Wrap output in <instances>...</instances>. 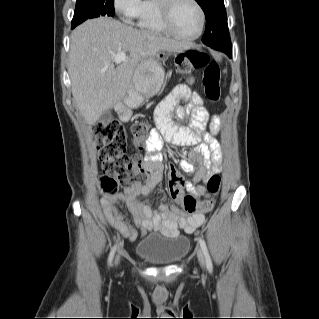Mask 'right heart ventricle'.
Instances as JSON below:
<instances>
[{
  "label": "right heart ventricle",
  "mask_w": 319,
  "mask_h": 319,
  "mask_svg": "<svg viewBox=\"0 0 319 319\" xmlns=\"http://www.w3.org/2000/svg\"><path fill=\"white\" fill-rule=\"evenodd\" d=\"M136 20L137 25L143 30L161 34L166 33V29L161 21L159 0L142 1Z\"/></svg>",
  "instance_id": "e07e8e85"
}]
</instances>
